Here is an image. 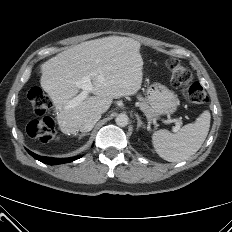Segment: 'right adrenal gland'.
Returning <instances> with one entry per match:
<instances>
[{
  "mask_svg": "<svg viewBox=\"0 0 232 232\" xmlns=\"http://www.w3.org/2000/svg\"><path fill=\"white\" fill-rule=\"evenodd\" d=\"M90 133H82L78 135V139L80 140L82 137L89 135Z\"/></svg>",
  "mask_w": 232,
  "mask_h": 232,
  "instance_id": "right-adrenal-gland-1",
  "label": "right adrenal gland"
}]
</instances>
